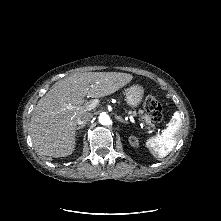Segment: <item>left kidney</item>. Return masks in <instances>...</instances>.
I'll use <instances>...</instances> for the list:
<instances>
[{
    "instance_id": "obj_1",
    "label": "left kidney",
    "mask_w": 221,
    "mask_h": 221,
    "mask_svg": "<svg viewBox=\"0 0 221 221\" xmlns=\"http://www.w3.org/2000/svg\"><path fill=\"white\" fill-rule=\"evenodd\" d=\"M129 141H130V144L134 147H137L139 145L138 140L134 137H132Z\"/></svg>"
}]
</instances>
